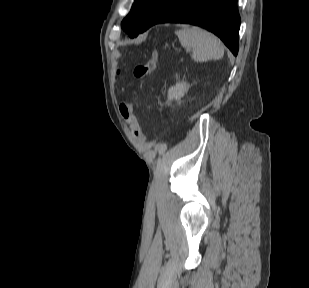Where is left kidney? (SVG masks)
Returning a JSON list of instances; mask_svg holds the SVG:
<instances>
[{
	"mask_svg": "<svg viewBox=\"0 0 309 288\" xmlns=\"http://www.w3.org/2000/svg\"><path fill=\"white\" fill-rule=\"evenodd\" d=\"M188 89L189 84L186 82L183 81L177 83L168 90V102H171L172 100H179L185 93H187Z\"/></svg>",
	"mask_w": 309,
	"mask_h": 288,
	"instance_id": "obj_1",
	"label": "left kidney"
}]
</instances>
